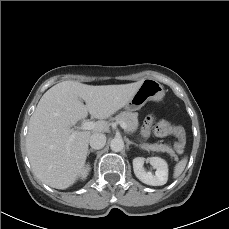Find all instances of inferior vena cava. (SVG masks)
Returning a JSON list of instances; mask_svg holds the SVG:
<instances>
[{"mask_svg":"<svg viewBox=\"0 0 229 229\" xmlns=\"http://www.w3.org/2000/svg\"><path fill=\"white\" fill-rule=\"evenodd\" d=\"M92 149L99 150L105 146L106 136L102 133H94L89 139Z\"/></svg>","mask_w":229,"mask_h":229,"instance_id":"inferior-vena-cava-1","label":"inferior vena cava"}]
</instances>
